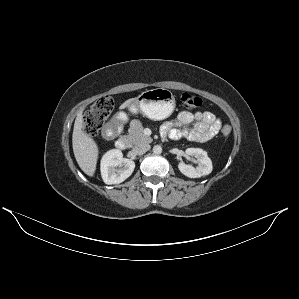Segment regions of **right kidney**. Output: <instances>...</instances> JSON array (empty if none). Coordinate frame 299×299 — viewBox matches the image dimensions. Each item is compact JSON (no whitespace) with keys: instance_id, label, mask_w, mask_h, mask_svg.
<instances>
[{"instance_id":"obj_1","label":"right kidney","mask_w":299,"mask_h":299,"mask_svg":"<svg viewBox=\"0 0 299 299\" xmlns=\"http://www.w3.org/2000/svg\"><path fill=\"white\" fill-rule=\"evenodd\" d=\"M134 168L135 162L123 158L122 152L118 149L109 150L101 159V176L108 185L122 183L132 174Z\"/></svg>"}]
</instances>
